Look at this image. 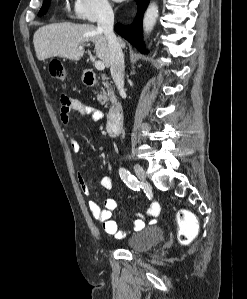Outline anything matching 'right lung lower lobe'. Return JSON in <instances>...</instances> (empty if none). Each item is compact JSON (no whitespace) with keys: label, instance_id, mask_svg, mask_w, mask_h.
<instances>
[{"label":"right lung lower lobe","instance_id":"1","mask_svg":"<svg viewBox=\"0 0 247 299\" xmlns=\"http://www.w3.org/2000/svg\"><path fill=\"white\" fill-rule=\"evenodd\" d=\"M137 2L138 12L131 25L124 26L121 24L115 25V31L122 36L124 39L129 41L134 45L138 51L141 53H146L145 45L142 41L143 29H142V19L143 13L147 8L150 0H135Z\"/></svg>","mask_w":247,"mask_h":299}]
</instances>
